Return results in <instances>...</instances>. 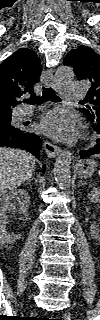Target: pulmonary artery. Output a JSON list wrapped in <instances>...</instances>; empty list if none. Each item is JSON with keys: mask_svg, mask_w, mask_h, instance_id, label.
Masks as SVG:
<instances>
[{"mask_svg": "<svg viewBox=\"0 0 100 320\" xmlns=\"http://www.w3.org/2000/svg\"><path fill=\"white\" fill-rule=\"evenodd\" d=\"M85 95V88L81 83H71L65 86L64 98L67 101H76L83 98ZM33 108L28 107L23 112L24 116L29 115L32 112Z\"/></svg>", "mask_w": 100, "mask_h": 320, "instance_id": "e3ab8cb5", "label": "pulmonary artery"}]
</instances>
